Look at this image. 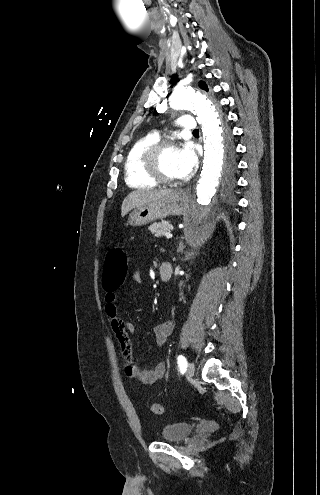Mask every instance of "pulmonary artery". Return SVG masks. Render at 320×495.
<instances>
[{"label":"pulmonary artery","mask_w":320,"mask_h":495,"mask_svg":"<svg viewBox=\"0 0 320 495\" xmlns=\"http://www.w3.org/2000/svg\"><path fill=\"white\" fill-rule=\"evenodd\" d=\"M176 122L178 126L184 131H194L197 128L195 120L189 115L180 116L179 118H177ZM154 135L158 138L157 133H155Z\"/></svg>","instance_id":"pulmonary-artery-1"}]
</instances>
